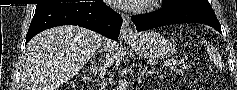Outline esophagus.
Wrapping results in <instances>:
<instances>
[{
	"mask_svg": "<svg viewBox=\"0 0 237 90\" xmlns=\"http://www.w3.org/2000/svg\"><path fill=\"white\" fill-rule=\"evenodd\" d=\"M135 38H136V34L134 33L130 25L129 17H124L122 28H121V40L123 42H131Z\"/></svg>",
	"mask_w": 237,
	"mask_h": 90,
	"instance_id": "obj_1",
	"label": "esophagus"
}]
</instances>
